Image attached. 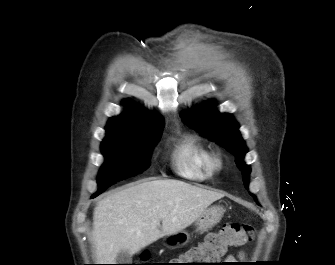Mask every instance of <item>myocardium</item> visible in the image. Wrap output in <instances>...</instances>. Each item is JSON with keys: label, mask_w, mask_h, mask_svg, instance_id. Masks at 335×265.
I'll list each match as a JSON object with an SVG mask.
<instances>
[{"label": "myocardium", "mask_w": 335, "mask_h": 265, "mask_svg": "<svg viewBox=\"0 0 335 265\" xmlns=\"http://www.w3.org/2000/svg\"><path fill=\"white\" fill-rule=\"evenodd\" d=\"M211 164L214 170H220L223 167V159L219 155H212Z\"/></svg>", "instance_id": "f54148a6"}]
</instances>
